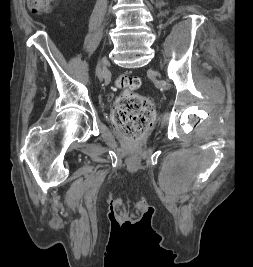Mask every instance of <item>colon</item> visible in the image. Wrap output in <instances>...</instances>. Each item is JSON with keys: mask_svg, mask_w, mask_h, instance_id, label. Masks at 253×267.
Wrapping results in <instances>:
<instances>
[{"mask_svg": "<svg viewBox=\"0 0 253 267\" xmlns=\"http://www.w3.org/2000/svg\"><path fill=\"white\" fill-rule=\"evenodd\" d=\"M54 0H28L29 9L35 14L48 12ZM141 85L139 77L122 74L116 79V86L123 92L117 99L112 120L117 131L127 140L137 142L151 125L152 102L137 93Z\"/></svg>", "mask_w": 253, "mask_h": 267, "instance_id": "5ec220e1", "label": "colon"}]
</instances>
